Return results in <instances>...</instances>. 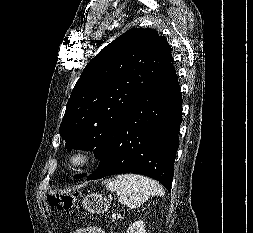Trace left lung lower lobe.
Wrapping results in <instances>:
<instances>
[{
    "label": "left lung lower lobe",
    "instance_id": "1",
    "mask_svg": "<svg viewBox=\"0 0 253 233\" xmlns=\"http://www.w3.org/2000/svg\"><path fill=\"white\" fill-rule=\"evenodd\" d=\"M172 62L130 110L87 180L136 173L158 180L170 191L182 120V97Z\"/></svg>",
    "mask_w": 253,
    "mask_h": 233
}]
</instances>
